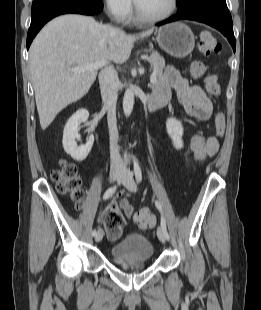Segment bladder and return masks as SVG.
<instances>
[{
    "instance_id": "1",
    "label": "bladder",
    "mask_w": 261,
    "mask_h": 310,
    "mask_svg": "<svg viewBox=\"0 0 261 310\" xmlns=\"http://www.w3.org/2000/svg\"><path fill=\"white\" fill-rule=\"evenodd\" d=\"M153 245L141 233H130L116 242L110 250L111 256L120 261H148L153 256Z\"/></svg>"
}]
</instances>
